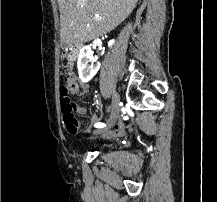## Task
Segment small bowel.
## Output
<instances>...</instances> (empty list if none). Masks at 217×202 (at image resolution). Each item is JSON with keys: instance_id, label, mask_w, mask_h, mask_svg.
I'll return each instance as SVG.
<instances>
[{"instance_id": "1", "label": "small bowel", "mask_w": 217, "mask_h": 202, "mask_svg": "<svg viewBox=\"0 0 217 202\" xmlns=\"http://www.w3.org/2000/svg\"><path fill=\"white\" fill-rule=\"evenodd\" d=\"M69 88H74V93H78L80 95H85L89 91V87L87 85L78 84L74 80L69 81ZM77 112L79 115L85 116L88 113V110L84 106H78ZM92 120L97 121L98 116L93 115ZM103 136L106 138H109V139H117V138H122V137L126 136V129H125L123 122H118L114 126V129L112 131L105 133Z\"/></svg>"}]
</instances>
